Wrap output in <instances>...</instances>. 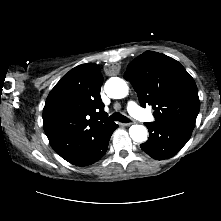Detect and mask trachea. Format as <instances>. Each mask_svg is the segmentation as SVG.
<instances>
[{"mask_svg": "<svg viewBox=\"0 0 221 221\" xmlns=\"http://www.w3.org/2000/svg\"><path fill=\"white\" fill-rule=\"evenodd\" d=\"M108 119L112 120V121H119L122 123H128L130 121L126 116H123L122 114L117 113V112H115L111 116H109Z\"/></svg>", "mask_w": 221, "mask_h": 221, "instance_id": "1", "label": "trachea"}]
</instances>
